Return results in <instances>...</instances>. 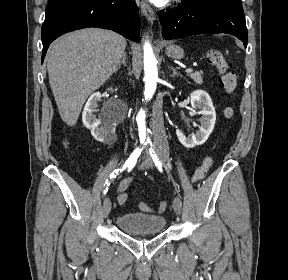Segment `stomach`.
I'll list each match as a JSON object with an SVG mask.
<instances>
[{
	"mask_svg": "<svg viewBox=\"0 0 288 280\" xmlns=\"http://www.w3.org/2000/svg\"><path fill=\"white\" fill-rule=\"evenodd\" d=\"M166 54L174 59H181L184 57V50L177 45H168L166 47Z\"/></svg>",
	"mask_w": 288,
	"mask_h": 280,
	"instance_id": "obj_1",
	"label": "stomach"
}]
</instances>
